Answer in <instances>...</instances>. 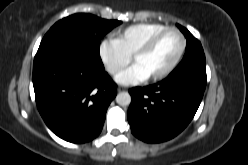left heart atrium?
<instances>
[{
    "label": "left heart atrium",
    "instance_id": "1",
    "mask_svg": "<svg viewBox=\"0 0 248 165\" xmlns=\"http://www.w3.org/2000/svg\"><path fill=\"white\" fill-rule=\"evenodd\" d=\"M149 76L139 64H134L116 77V81L123 85L135 84L148 79Z\"/></svg>",
    "mask_w": 248,
    "mask_h": 165
}]
</instances>
